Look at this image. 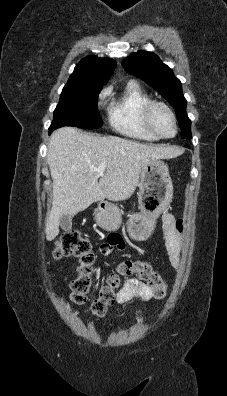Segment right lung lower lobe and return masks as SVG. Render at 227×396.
<instances>
[{
	"label": "right lung lower lobe",
	"mask_w": 227,
	"mask_h": 396,
	"mask_svg": "<svg viewBox=\"0 0 227 396\" xmlns=\"http://www.w3.org/2000/svg\"><path fill=\"white\" fill-rule=\"evenodd\" d=\"M52 132V130L49 129V134Z\"/></svg>",
	"instance_id": "98d812e1"
}]
</instances>
